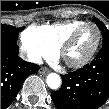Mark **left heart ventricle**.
Masks as SVG:
<instances>
[{
	"instance_id": "b2bd125f",
	"label": "left heart ventricle",
	"mask_w": 109,
	"mask_h": 109,
	"mask_svg": "<svg viewBox=\"0 0 109 109\" xmlns=\"http://www.w3.org/2000/svg\"><path fill=\"white\" fill-rule=\"evenodd\" d=\"M97 40V31L94 27H86L78 36L74 45L67 51L66 58L71 62L83 59L92 50Z\"/></svg>"
}]
</instances>
